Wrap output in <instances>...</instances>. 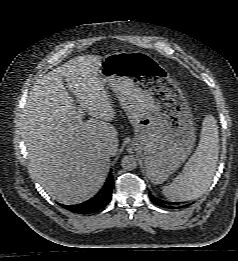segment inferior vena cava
Here are the masks:
<instances>
[{"label": "inferior vena cava", "instance_id": "1", "mask_svg": "<svg viewBox=\"0 0 238 261\" xmlns=\"http://www.w3.org/2000/svg\"><path fill=\"white\" fill-rule=\"evenodd\" d=\"M106 151H107L108 153L111 152V148H110L108 145H106Z\"/></svg>", "mask_w": 238, "mask_h": 261}]
</instances>
